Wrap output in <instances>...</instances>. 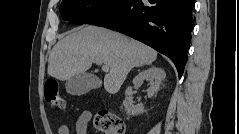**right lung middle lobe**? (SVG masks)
Here are the masks:
<instances>
[{"label": "right lung middle lobe", "mask_w": 239, "mask_h": 134, "mask_svg": "<svg viewBox=\"0 0 239 134\" xmlns=\"http://www.w3.org/2000/svg\"><path fill=\"white\" fill-rule=\"evenodd\" d=\"M119 0H62L60 13L72 24H85Z\"/></svg>", "instance_id": "dd1d6c3e"}]
</instances>
